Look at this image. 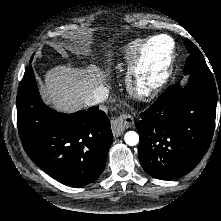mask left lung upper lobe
Listing matches in <instances>:
<instances>
[{
  "mask_svg": "<svg viewBox=\"0 0 221 221\" xmlns=\"http://www.w3.org/2000/svg\"><path fill=\"white\" fill-rule=\"evenodd\" d=\"M185 46L189 51L190 55L186 60V64L184 67V74H192V73H201V74H209L212 75L209 67L206 64V61L198 49V47L192 43L190 40L185 41Z\"/></svg>",
  "mask_w": 221,
  "mask_h": 221,
  "instance_id": "obj_1",
  "label": "left lung upper lobe"
}]
</instances>
